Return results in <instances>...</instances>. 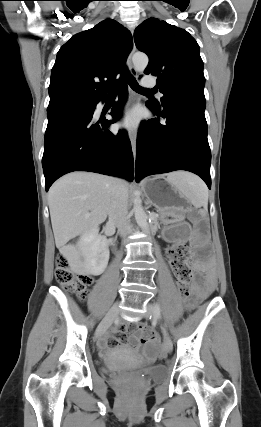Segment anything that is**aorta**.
<instances>
[{
    "mask_svg": "<svg viewBox=\"0 0 261 427\" xmlns=\"http://www.w3.org/2000/svg\"><path fill=\"white\" fill-rule=\"evenodd\" d=\"M132 62L136 70L143 71L147 67L149 59L144 53H136L132 57ZM133 211L137 224L141 227L143 231L148 232V216L142 207L141 199L139 197H136L134 199Z\"/></svg>",
    "mask_w": 261,
    "mask_h": 427,
    "instance_id": "762f6f07",
    "label": "aorta"
}]
</instances>
